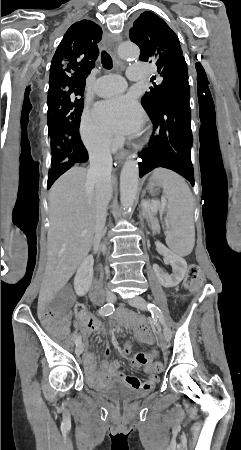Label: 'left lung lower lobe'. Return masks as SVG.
I'll return each instance as SVG.
<instances>
[{"label":"left lung lower lobe","mask_w":241,"mask_h":450,"mask_svg":"<svg viewBox=\"0 0 241 450\" xmlns=\"http://www.w3.org/2000/svg\"><path fill=\"white\" fill-rule=\"evenodd\" d=\"M190 95L166 103L148 113L154 133L149 146L139 153L140 177L157 167L171 169L194 185L191 162Z\"/></svg>","instance_id":"0a47b994"}]
</instances>
